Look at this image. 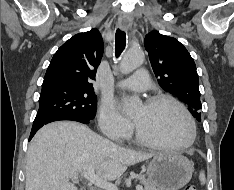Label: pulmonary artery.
<instances>
[{"label": "pulmonary artery", "mask_w": 234, "mask_h": 190, "mask_svg": "<svg viewBox=\"0 0 234 190\" xmlns=\"http://www.w3.org/2000/svg\"><path fill=\"white\" fill-rule=\"evenodd\" d=\"M149 85L150 80L144 68L138 69L134 76L117 82V86L134 91H144Z\"/></svg>", "instance_id": "obj_1"}]
</instances>
